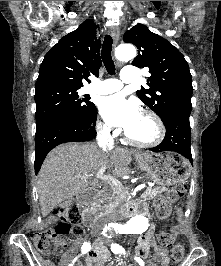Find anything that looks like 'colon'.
<instances>
[{"label":"colon","mask_w":221,"mask_h":266,"mask_svg":"<svg viewBox=\"0 0 221 266\" xmlns=\"http://www.w3.org/2000/svg\"><path fill=\"white\" fill-rule=\"evenodd\" d=\"M186 186L178 184L174 186L166 197H159L155 201V208L160 219L166 220L171 214V204L182 198L185 194ZM53 214L61 219V222L53 229L33 232L31 238L44 254H55L59 247V238L69 234H79L82 232L80 221V207L74 200L67 201L53 210ZM160 244L166 246L172 243L173 235L167 232L158 234ZM184 256V247L175 244L171 249V260L175 263L180 262Z\"/></svg>","instance_id":"obj_1"}]
</instances>
